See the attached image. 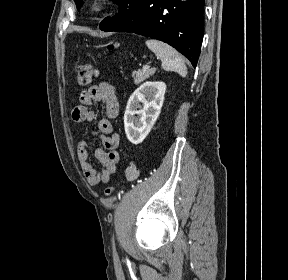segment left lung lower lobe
I'll list each match as a JSON object with an SVG mask.
<instances>
[{
    "instance_id": "0a47b994",
    "label": "left lung lower lobe",
    "mask_w": 288,
    "mask_h": 280,
    "mask_svg": "<svg viewBox=\"0 0 288 280\" xmlns=\"http://www.w3.org/2000/svg\"><path fill=\"white\" fill-rule=\"evenodd\" d=\"M205 0H132L126 9L105 18L102 31L133 32L161 40L196 67L204 32Z\"/></svg>"
}]
</instances>
